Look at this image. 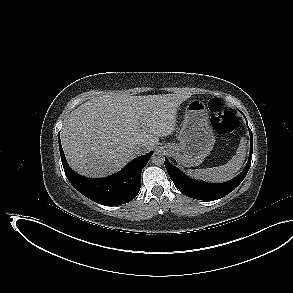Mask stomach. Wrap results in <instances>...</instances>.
I'll return each instance as SVG.
<instances>
[{"mask_svg":"<svg viewBox=\"0 0 293 293\" xmlns=\"http://www.w3.org/2000/svg\"><path fill=\"white\" fill-rule=\"evenodd\" d=\"M178 139V144L168 143L165 149L185 167L200 165L213 149L215 137L203 102L194 99L188 103Z\"/></svg>","mask_w":293,"mask_h":293,"instance_id":"0dacf381","label":"stomach"}]
</instances>
